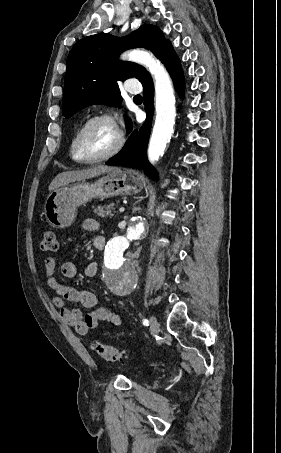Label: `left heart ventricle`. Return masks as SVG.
Returning a JSON list of instances; mask_svg holds the SVG:
<instances>
[{
	"label": "left heart ventricle",
	"mask_w": 281,
	"mask_h": 453,
	"mask_svg": "<svg viewBox=\"0 0 281 453\" xmlns=\"http://www.w3.org/2000/svg\"><path fill=\"white\" fill-rule=\"evenodd\" d=\"M118 141L117 129L106 122L90 125L79 143V155L91 159L109 151Z\"/></svg>",
	"instance_id": "b2bd125f"
}]
</instances>
